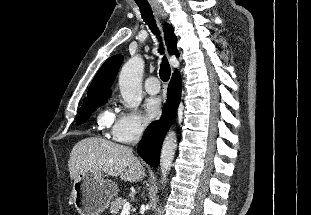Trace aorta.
<instances>
[{
	"instance_id": "aorta-1",
	"label": "aorta",
	"mask_w": 311,
	"mask_h": 215,
	"mask_svg": "<svg viewBox=\"0 0 311 215\" xmlns=\"http://www.w3.org/2000/svg\"><path fill=\"white\" fill-rule=\"evenodd\" d=\"M144 61L140 56L129 59L122 67L119 74V88L121 96L128 108L137 109L142 101V75ZM177 146V138L174 131L166 135L161 155L160 169L162 173L161 183H165Z\"/></svg>"
}]
</instances>
